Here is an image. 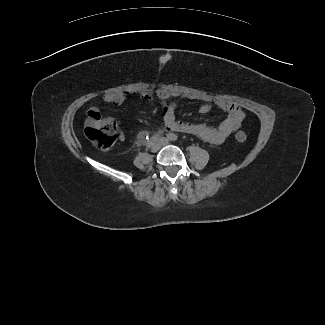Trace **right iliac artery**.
Masks as SVG:
<instances>
[{"instance_id": "right-iliac-artery-1", "label": "right iliac artery", "mask_w": 325, "mask_h": 325, "mask_svg": "<svg viewBox=\"0 0 325 325\" xmlns=\"http://www.w3.org/2000/svg\"><path fill=\"white\" fill-rule=\"evenodd\" d=\"M160 136L159 135H154L152 136L150 139H148L146 145L148 147H151L155 142H157L159 140Z\"/></svg>"}]
</instances>
